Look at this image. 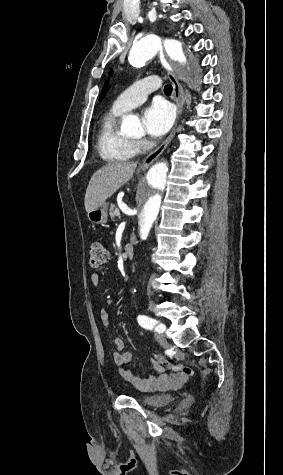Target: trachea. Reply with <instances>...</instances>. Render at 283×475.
Masks as SVG:
<instances>
[{
  "label": "trachea",
  "instance_id": "trachea-1",
  "mask_svg": "<svg viewBox=\"0 0 283 475\" xmlns=\"http://www.w3.org/2000/svg\"><path fill=\"white\" fill-rule=\"evenodd\" d=\"M164 92H165L166 94L172 93V85H165V87H164Z\"/></svg>",
  "mask_w": 283,
  "mask_h": 475
}]
</instances>
